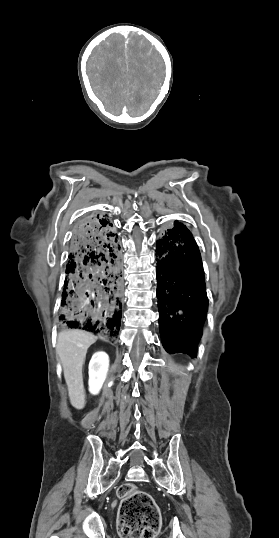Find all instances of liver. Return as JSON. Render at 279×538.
Listing matches in <instances>:
<instances>
[{"label":"liver","mask_w":279,"mask_h":538,"mask_svg":"<svg viewBox=\"0 0 279 538\" xmlns=\"http://www.w3.org/2000/svg\"><path fill=\"white\" fill-rule=\"evenodd\" d=\"M96 340V336L84 330H63L58 334L56 352L63 366L70 402L77 410L85 406L82 368L87 350Z\"/></svg>","instance_id":"6515ba94"}]
</instances>
